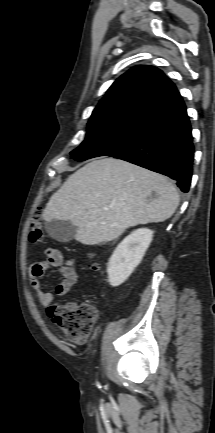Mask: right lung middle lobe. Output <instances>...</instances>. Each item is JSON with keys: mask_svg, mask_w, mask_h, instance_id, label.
I'll return each instance as SVG.
<instances>
[{"mask_svg": "<svg viewBox=\"0 0 215 433\" xmlns=\"http://www.w3.org/2000/svg\"><path fill=\"white\" fill-rule=\"evenodd\" d=\"M146 118L124 116L89 122L85 140L70 153L71 157L84 161L122 149L137 135Z\"/></svg>", "mask_w": 215, "mask_h": 433, "instance_id": "1", "label": "right lung middle lobe"}]
</instances>
